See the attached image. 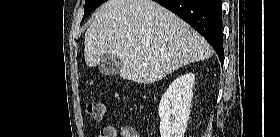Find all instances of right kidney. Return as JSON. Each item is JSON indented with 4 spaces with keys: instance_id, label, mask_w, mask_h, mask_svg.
Instances as JSON below:
<instances>
[{
    "instance_id": "right-kidney-1",
    "label": "right kidney",
    "mask_w": 280,
    "mask_h": 137,
    "mask_svg": "<svg viewBox=\"0 0 280 137\" xmlns=\"http://www.w3.org/2000/svg\"><path fill=\"white\" fill-rule=\"evenodd\" d=\"M195 75L185 73L172 82L159 103L161 137H184L190 116Z\"/></svg>"
}]
</instances>
